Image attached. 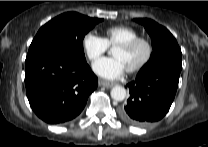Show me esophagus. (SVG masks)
Instances as JSON below:
<instances>
[{
	"instance_id": "obj_1",
	"label": "esophagus",
	"mask_w": 208,
	"mask_h": 147,
	"mask_svg": "<svg viewBox=\"0 0 208 147\" xmlns=\"http://www.w3.org/2000/svg\"><path fill=\"white\" fill-rule=\"evenodd\" d=\"M99 83H100L101 86H104L106 88H111V87L115 86L114 82H109V81H106V80H100Z\"/></svg>"
}]
</instances>
